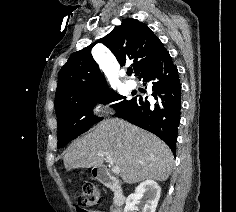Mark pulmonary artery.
Here are the masks:
<instances>
[{"label": "pulmonary artery", "instance_id": "e3ab8cb5", "mask_svg": "<svg viewBox=\"0 0 236 212\" xmlns=\"http://www.w3.org/2000/svg\"><path fill=\"white\" fill-rule=\"evenodd\" d=\"M125 85L129 90H133L137 87V83L134 80H126Z\"/></svg>", "mask_w": 236, "mask_h": 212}]
</instances>
